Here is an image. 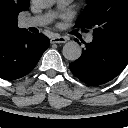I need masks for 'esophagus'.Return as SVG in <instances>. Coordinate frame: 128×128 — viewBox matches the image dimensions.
<instances>
[{
    "instance_id": "esophagus-1",
    "label": "esophagus",
    "mask_w": 128,
    "mask_h": 128,
    "mask_svg": "<svg viewBox=\"0 0 128 128\" xmlns=\"http://www.w3.org/2000/svg\"><path fill=\"white\" fill-rule=\"evenodd\" d=\"M67 41V38L64 36H53L50 39L51 44H60L65 43Z\"/></svg>"
}]
</instances>
